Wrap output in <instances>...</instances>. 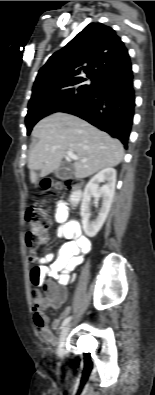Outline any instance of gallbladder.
<instances>
[{"label":"gallbladder","mask_w":155,"mask_h":395,"mask_svg":"<svg viewBox=\"0 0 155 395\" xmlns=\"http://www.w3.org/2000/svg\"><path fill=\"white\" fill-rule=\"evenodd\" d=\"M72 175V170L67 166H62L55 171V176L60 179L68 178Z\"/></svg>","instance_id":"bac80fb5"}]
</instances>
